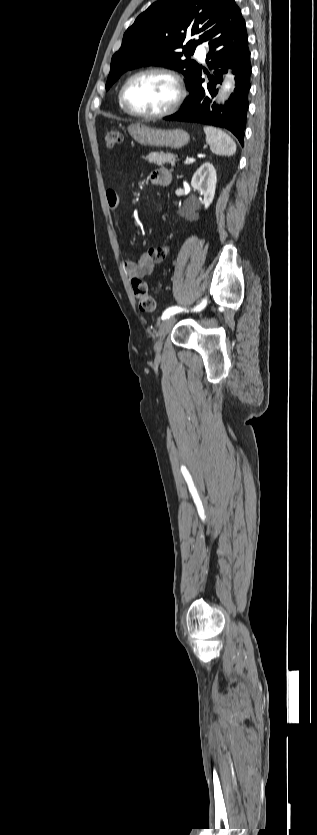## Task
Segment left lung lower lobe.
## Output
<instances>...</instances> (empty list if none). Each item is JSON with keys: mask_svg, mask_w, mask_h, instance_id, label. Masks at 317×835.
Returning <instances> with one entry per match:
<instances>
[{"mask_svg": "<svg viewBox=\"0 0 317 835\" xmlns=\"http://www.w3.org/2000/svg\"><path fill=\"white\" fill-rule=\"evenodd\" d=\"M210 50L206 61L213 74L206 70L209 82L202 86V66L195 71L187 84L189 96L182 108L165 120L198 122L230 130L243 145L246 115L249 106L248 92L251 87L250 51L245 21L234 0H230L222 17L221 25L208 39ZM227 68L234 69L236 88L230 99L222 106L211 107L212 98L217 94V84Z\"/></svg>", "mask_w": 317, "mask_h": 835, "instance_id": "0a47b994", "label": "left lung lower lobe"}]
</instances>
